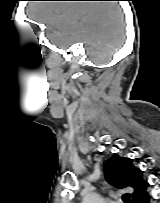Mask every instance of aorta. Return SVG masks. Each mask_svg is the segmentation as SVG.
I'll use <instances>...</instances> for the list:
<instances>
[{
    "instance_id": "obj_1",
    "label": "aorta",
    "mask_w": 160,
    "mask_h": 203,
    "mask_svg": "<svg viewBox=\"0 0 160 203\" xmlns=\"http://www.w3.org/2000/svg\"><path fill=\"white\" fill-rule=\"evenodd\" d=\"M82 203H103V199L97 193H88L84 196Z\"/></svg>"
}]
</instances>
